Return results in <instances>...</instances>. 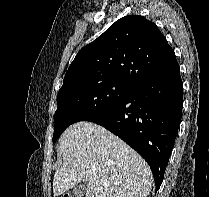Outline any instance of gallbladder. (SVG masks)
<instances>
[{"label":"gallbladder","mask_w":209,"mask_h":197,"mask_svg":"<svg viewBox=\"0 0 209 197\" xmlns=\"http://www.w3.org/2000/svg\"><path fill=\"white\" fill-rule=\"evenodd\" d=\"M85 191L86 189L84 185H77L72 189L71 197H82L85 194Z\"/></svg>","instance_id":"gallbladder-1"}]
</instances>
